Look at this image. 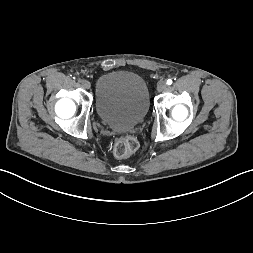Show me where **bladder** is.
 Masks as SVG:
<instances>
[{"label": "bladder", "instance_id": "1", "mask_svg": "<svg viewBox=\"0 0 253 253\" xmlns=\"http://www.w3.org/2000/svg\"><path fill=\"white\" fill-rule=\"evenodd\" d=\"M145 80L128 71L100 76L95 86V107L101 121L116 131H129L140 124L149 110Z\"/></svg>", "mask_w": 253, "mask_h": 253}]
</instances>
